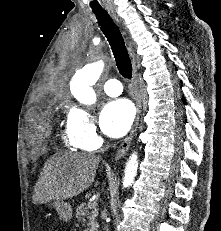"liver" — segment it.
I'll list each match as a JSON object with an SVG mask.
<instances>
[{"label":"liver","instance_id":"liver-1","mask_svg":"<svg viewBox=\"0 0 221 231\" xmlns=\"http://www.w3.org/2000/svg\"><path fill=\"white\" fill-rule=\"evenodd\" d=\"M99 163L100 157L92 154L70 151L54 154L45 163L34 187L33 203L46 204L79 195L93 183Z\"/></svg>","mask_w":221,"mask_h":231}]
</instances>
